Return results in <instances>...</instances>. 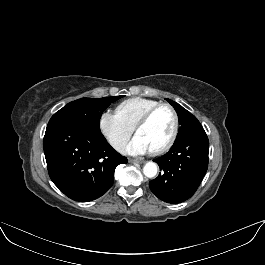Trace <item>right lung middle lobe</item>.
I'll return each instance as SVG.
<instances>
[{"label":"right lung middle lobe","instance_id":"right-lung-middle-lobe-1","mask_svg":"<svg viewBox=\"0 0 265 265\" xmlns=\"http://www.w3.org/2000/svg\"><path fill=\"white\" fill-rule=\"evenodd\" d=\"M122 96L103 98H81L72 101L57 111L50 119L48 125L53 123H73L100 131L99 121L104 110Z\"/></svg>","mask_w":265,"mask_h":265}]
</instances>
